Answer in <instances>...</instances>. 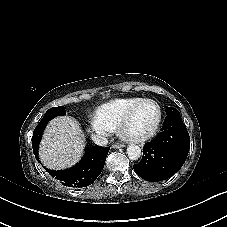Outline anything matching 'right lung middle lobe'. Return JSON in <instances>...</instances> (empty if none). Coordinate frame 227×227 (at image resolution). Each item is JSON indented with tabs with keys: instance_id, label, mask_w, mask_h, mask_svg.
<instances>
[{
	"instance_id": "obj_1",
	"label": "right lung middle lobe",
	"mask_w": 227,
	"mask_h": 227,
	"mask_svg": "<svg viewBox=\"0 0 227 227\" xmlns=\"http://www.w3.org/2000/svg\"><path fill=\"white\" fill-rule=\"evenodd\" d=\"M64 114H65V108L63 106L52 107L46 111V113L43 116V118L41 119L40 123H47L52 118L59 116V115H64Z\"/></svg>"
}]
</instances>
